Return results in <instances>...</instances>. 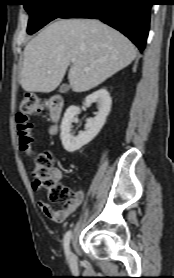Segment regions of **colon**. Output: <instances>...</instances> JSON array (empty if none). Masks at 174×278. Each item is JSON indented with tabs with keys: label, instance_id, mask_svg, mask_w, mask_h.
Returning a JSON list of instances; mask_svg holds the SVG:
<instances>
[{
	"label": "colon",
	"instance_id": "1",
	"mask_svg": "<svg viewBox=\"0 0 174 278\" xmlns=\"http://www.w3.org/2000/svg\"><path fill=\"white\" fill-rule=\"evenodd\" d=\"M42 110L43 104L36 96L28 95L20 102L16 123L20 149L25 153H30L32 144L30 117L33 114H40ZM32 176L35 187L46 190L50 201L63 202L67 199L69 191L58 182L54 156L51 152H41L35 157Z\"/></svg>",
	"mask_w": 174,
	"mask_h": 278
}]
</instances>
